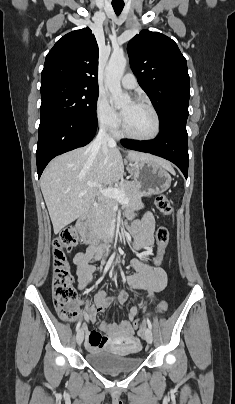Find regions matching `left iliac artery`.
<instances>
[{
  "instance_id": "1",
  "label": "left iliac artery",
  "mask_w": 235,
  "mask_h": 404,
  "mask_svg": "<svg viewBox=\"0 0 235 404\" xmlns=\"http://www.w3.org/2000/svg\"><path fill=\"white\" fill-rule=\"evenodd\" d=\"M147 324H148V327L150 328V329H152V324H151V322H150V320L147 318Z\"/></svg>"
}]
</instances>
